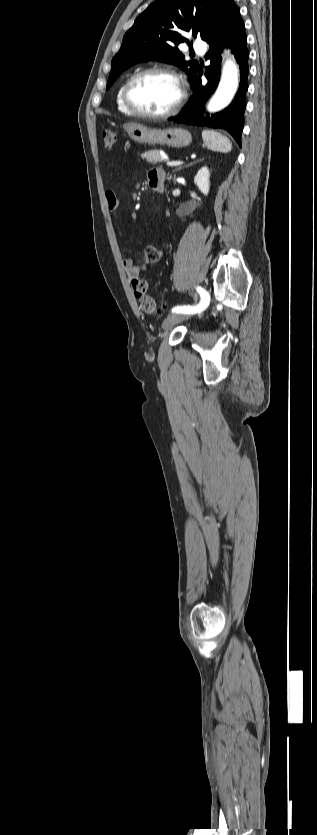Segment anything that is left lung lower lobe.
Instances as JSON below:
<instances>
[{
	"instance_id": "1",
	"label": "left lung lower lobe",
	"mask_w": 317,
	"mask_h": 835,
	"mask_svg": "<svg viewBox=\"0 0 317 835\" xmlns=\"http://www.w3.org/2000/svg\"><path fill=\"white\" fill-rule=\"evenodd\" d=\"M226 20L224 24L206 42L210 49L207 59L211 65L205 68V76L209 80L203 85L201 76L203 69L199 66L190 80L193 96L189 99L185 108L176 117L170 120L190 125L206 126L227 130L241 146V132L244 126V111L246 108L245 94L248 89V58L247 37L245 34L244 22L240 16V10L233 0H229L224 10ZM231 48L240 67V85L232 103L224 111L216 113L211 117L204 116V104L215 91L220 77L221 56L223 47Z\"/></svg>"
}]
</instances>
